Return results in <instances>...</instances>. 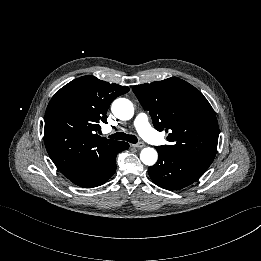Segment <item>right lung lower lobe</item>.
Here are the masks:
<instances>
[{"instance_id": "obj_1", "label": "right lung lower lobe", "mask_w": 261, "mask_h": 261, "mask_svg": "<svg viewBox=\"0 0 261 261\" xmlns=\"http://www.w3.org/2000/svg\"><path fill=\"white\" fill-rule=\"evenodd\" d=\"M128 148L129 144L126 143L120 149L104 156L100 161L94 163L92 166L86 168L82 172L68 176L67 178L76 185L84 188L100 186L115 173L117 154Z\"/></svg>"}]
</instances>
